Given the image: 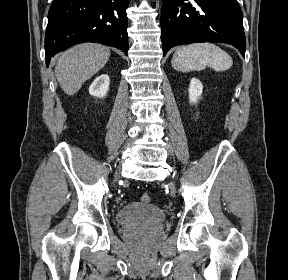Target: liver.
<instances>
[{"label": "liver", "mask_w": 288, "mask_h": 280, "mask_svg": "<svg viewBox=\"0 0 288 280\" xmlns=\"http://www.w3.org/2000/svg\"><path fill=\"white\" fill-rule=\"evenodd\" d=\"M110 49L100 44L84 43L65 51L55 67L56 78L67 95H74L83 83L107 63Z\"/></svg>", "instance_id": "obj_1"}]
</instances>
